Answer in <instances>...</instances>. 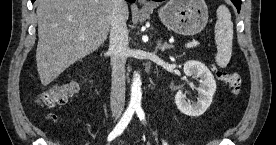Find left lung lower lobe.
Segmentation results:
<instances>
[{"mask_svg": "<svg viewBox=\"0 0 276 145\" xmlns=\"http://www.w3.org/2000/svg\"><path fill=\"white\" fill-rule=\"evenodd\" d=\"M153 1H163V0H153ZM231 1L236 6L238 12H240V9H241V0H231Z\"/></svg>", "mask_w": 276, "mask_h": 145, "instance_id": "0a47b994", "label": "left lung lower lobe"}]
</instances>
